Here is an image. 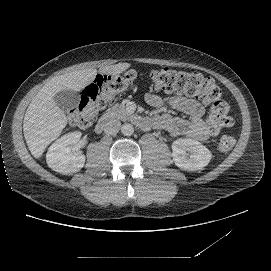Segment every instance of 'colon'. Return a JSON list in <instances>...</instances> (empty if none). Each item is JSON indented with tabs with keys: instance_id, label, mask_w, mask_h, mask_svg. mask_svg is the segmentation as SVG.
I'll return each mask as SVG.
<instances>
[{
	"instance_id": "5ec220e1",
	"label": "colon",
	"mask_w": 271,
	"mask_h": 271,
	"mask_svg": "<svg viewBox=\"0 0 271 271\" xmlns=\"http://www.w3.org/2000/svg\"><path fill=\"white\" fill-rule=\"evenodd\" d=\"M136 74L127 70L117 75H98L85 89L80 103L69 111L72 125L86 128L91 125L97 113L114 96L128 91L133 85ZM152 89L155 92L185 94L201 98L209 106L207 126L211 134H217L223 128L233 124L231 107L223 97L215 81L196 71L177 70L170 67L154 69L150 72ZM235 145L232 136L221 137L218 149L228 153Z\"/></svg>"
}]
</instances>
